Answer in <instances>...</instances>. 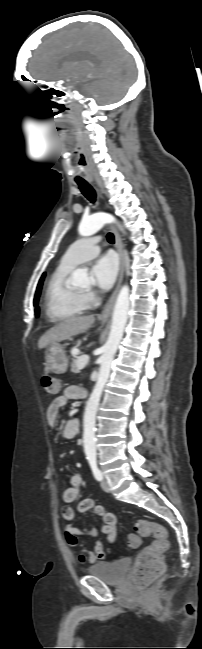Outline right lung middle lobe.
<instances>
[{
  "mask_svg": "<svg viewBox=\"0 0 202 649\" xmlns=\"http://www.w3.org/2000/svg\"><path fill=\"white\" fill-rule=\"evenodd\" d=\"M44 277H45V274H43L41 279L39 280L37 290H36V293H35V297H34V306L38 305V300H39V296H40V292H41ZM35 315H36V317H38V315H39V308L38 307H36V309H35Z\"/></svg>",
  "mask_w": 202,
  "mask_h": 649,
  "instance_id": "right-lung-middle-lobe-1",
  "label": "right lung middle lobe"
}]
</instances>
